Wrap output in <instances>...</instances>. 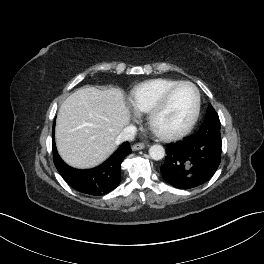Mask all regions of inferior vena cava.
<instances>
[{"label":"inferior vena cava","mask_w":264,"mask_h":264,"mask_svg":"<svg viewBox=\"0 0 264 264\" xmlns=\"http://www.w3.org/2000/svg\"><path fill=\"white\" fill-rule=\"evenodd\" d=\"M136 127L129 125L125 127L120 134L117 136L115 143L118 145L124 141H132L135 138Z\"/></svg>","instance_id":"1"}]
</instances>
